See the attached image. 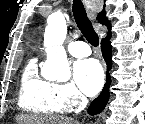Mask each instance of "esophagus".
Here are the masks:
<instances>
[{
  "label": "esophagus",
  "instance_id": "esophagus-1",
  "mask_svg": "<svg viewBox=\"0 0 145 124\" xmlns=\"http://www.w3.org/2000/svg\"><path fill=\"white\" fill-rule=\"evenodd\" d=\"M87 2V11H88V15L91 17V18H94L95 17V14L96 12L98 11L99 9V6L96 4V2L94 1H86ZM90 4V5H89ZM91 6V7H90Z\"/></svg>",
  "mask_w": 145,
  "mask_h": 124
}]
</instances>
